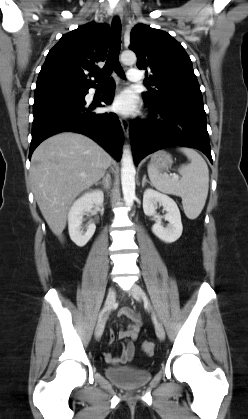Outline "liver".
I'll list each match as a JSON object with an SVG mask.
<instances>
[{
  "mask_svg": "<svg viewBox=\"0 0 248 419\" xmlns=\"http://www.w3.org/2000/svg\"><path fill=\"white\" fill-rule=\"evenodd\" d=\"M31 161L35 200L51 231L61 239L71 204L103 177L113 160L89 137L63 132L43 141Z\"/></svg>",
  "mask_w": 248,
  "mask_h": 419,
  "instance_id": "1",
  "label": "liver"
}]
</instances>
